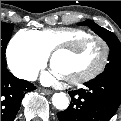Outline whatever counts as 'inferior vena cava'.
<instances>
[{
    "instance_id": "1",
    "label": "inferior vena cava",
    "mask_w": 121,
    "mask_h": 121,
    "mask_svg": "<svg viewBox=\"0 0 121 121\" xmlns=\"http://www.w3.org/2000/svg\"><path fill=\"white\" fill-rule=\"evenodd\" d=\"M17 77L18 78H21V79H26V80H29V81H35L36 78H37V73L36 72H19L17 74Z\"/></svg>"
}]
</instances>
